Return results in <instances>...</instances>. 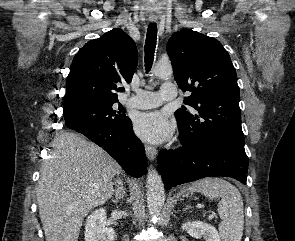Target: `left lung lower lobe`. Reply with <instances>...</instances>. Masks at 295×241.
Here are the masks:
<instances>
[{"mask_svg":"<svg viewBox=\"0 0 295 241\" xmlns=\"http://www.w3.org/2000/svg\"><path fill=\"white\" fill-rule=\"evenodd\" d=\"M157 162L166 189L204 177H232L243 184L247 179L245 150L223 142L183 143L176 150H161Z\"/></svg>","mask_w":295,"mask_h":241,"instance_id":"0a47b994","label":"left lung lower lobe"}]
</instances>
